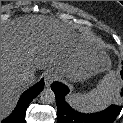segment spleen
<instances>
[{
	"label": "spleen",
	"mask_w": 123,
	"mask_h": 123,
	"mask_svg": "<svg viewBox=\"0 0 123 123\" xmlns=\"http://www.w3.org/2000/svg\"><path fill=\"white\" fill-rule=\"evenodd\" d=\"M121 81L116 72L106 73L96 88L88 93H74L67 100L76 110L81 112H96L105 109L116 100Z\"/></svg>",
	"instance_id": "spleen-1"
}]
</instances>
